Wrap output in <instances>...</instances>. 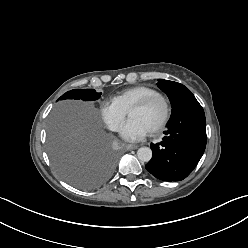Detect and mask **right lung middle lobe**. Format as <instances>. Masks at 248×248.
Wrapping results in <instances>:
<instances>
[{
	"mask_svg": "<svg viewBox=\"0 0 248 248\" xmlns=\"http://www.w3.org/2000/svg\"><path fill=\"white\" fill-rule=\"evenodd\" d=\"M100 95L94 89H74L58 100L93 101L99 99ZM49 154L60 176L81 189H93L102 185L115 166L107 140L93 119L89 120L88 132L81 139H72L63 130L52 128L49 133Z\"/></svg>",
	"mask_w": 248,
	"mask_h": 248,
	"instance_id": "obj_1",
	"label": "right lung middle lobe"
}]
</instances>
